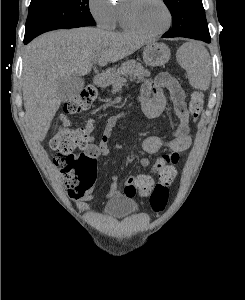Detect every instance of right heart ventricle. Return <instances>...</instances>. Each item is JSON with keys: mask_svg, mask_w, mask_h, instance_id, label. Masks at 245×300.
<instances>
[{"mask_svg": "<svg viewBox=\"0 0 245 300\" xmlns=\"http://www.w3.org/2000/svg\"><path fill=\"white\" fill-rule=\"evenodd\" d=\"M115 23L118 24V26L127 32H133L131 29H129L124 21H123V16H122V7L121 6H116V19H115Z\"/></svg>", "mask_w": 245, "mask_h": 300, "instance_id": "obj_1", "label": "right heart ventricle"}]
</instances>
